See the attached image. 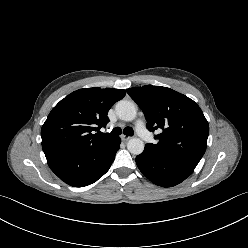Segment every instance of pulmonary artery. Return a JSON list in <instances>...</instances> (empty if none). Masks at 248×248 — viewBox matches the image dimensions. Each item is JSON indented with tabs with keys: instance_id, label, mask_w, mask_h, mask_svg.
Listing matches in <instances>:
<instances>
[{
	"instance_id": "1",
	"label": "pulmonary artery",
	"mask_w": 248,
	"mask_h": 248,
	"mask_svg": "<svg viewBox=\"0 0 248 248\" xmlns=\"http://www.w3.org/2000/svg\"><path fill=\"white\" fill-rule=\"evenodd\" d=\"M136 131L144 141H151L153 139L152 133L147 129L143 120H138L136 123Z\"/></svg>"
}]
</instances>
